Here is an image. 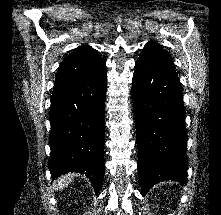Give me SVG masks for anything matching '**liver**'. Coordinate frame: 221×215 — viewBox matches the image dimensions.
<instances>
[{"label": "liver", "instance_id": "1", "mask_svg": "<svg viewBox=\"0 0 221 215\" xmlns=\"http://www.w3.org/2000/svg\"><path fill=\"white\" fill-rule=\"evenodd\" d=\"M73 178H74V174H71V173L67 174V175H64V176H61L54 183L55 189L61 190L65 187H67L68 184L71 183Z\"/></svg>", "mask_w": 221, "mask_h": 215}]
</instances>
